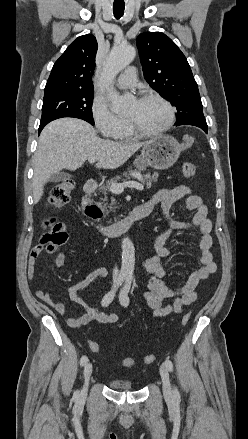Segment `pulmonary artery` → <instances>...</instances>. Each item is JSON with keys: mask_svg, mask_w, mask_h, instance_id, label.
I'll use <instances>...</instances> for the list:
<instances>
[{"mask_svg": "<svg viewBox=\"0 0 248 439\" xmlns=\"http://www.w3.org/2000/svg\"><path fill=\"white\" fill-rule=\"evenodd\" d=\"M136 83V69L130 67L123 72L117 79V85L119 88L127 89L133 87Z\"/></svg>", "mask_w": 248, "mask_h": 439, "instance_id": "obj_1", "label": "pulmonary artery"}]
</instances>
